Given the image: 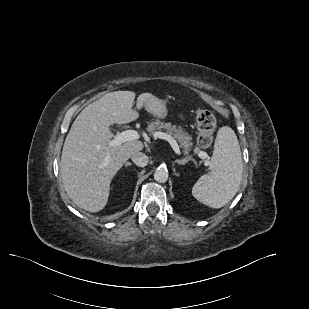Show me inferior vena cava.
Wrapping results in <instances>:
<instances>
[{
    "label": "inferior vena cava",
    "instance_id": "obj_1",
    "mask_svg": "<svg viewBox=\"0 0 309 309\" xmlns=\"http://www.w3.org/2000/svg\"><path fill=\"white\" fill-rule=\"evenodd\" d=\"M131 159L139 167H145L149 161L148 156L142 152L133 153Z\"/></svg>",
    "mask_w": 309,
    "mask_h": 309
}]
</instances>
